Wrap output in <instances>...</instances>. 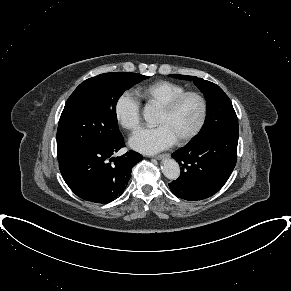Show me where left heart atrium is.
I'll use <instances>...</instances> for the list:
<instances>
[{
    "label": "left heart atrium",
    "mask_w": 291,
    "mask_h": 291,
    "mask_svg": "<svg viewBox=\"0 0 291 291\" xmlns=\"http://www.w3.org/2000/svg\"><path fill=\"white\" fill-rule=\"evenodd\" d=\"M176 141L167 126L159 125L139 131L131 138L130 145L142 153L153 154L171 147Z\"/></svg>",
    "instance_id": "left-heart-atrium-1"
}]
</instances>
